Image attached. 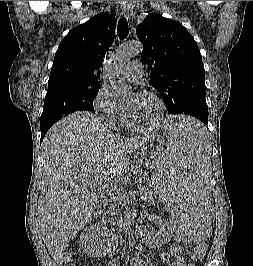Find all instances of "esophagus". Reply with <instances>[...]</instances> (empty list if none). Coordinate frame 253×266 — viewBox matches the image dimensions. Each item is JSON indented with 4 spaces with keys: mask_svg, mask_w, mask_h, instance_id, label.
Masks as SVG:
<instances>
[{
    "mask_svg": "<svg viewBox=\"0 0 253 266\" xmlns=\"http://www.w3.org/2000/svg\"><path fill=\"white\" fill-rule=\"evenodd\" d=\"M121 9L123 11V13L130 18L133 14V6L131 3H129L128 1H125L121 4Z\"/></svg>",
    "mask_w": 253,
    "mask_h": 266,
    "instance_id": "obj_1",
    "label": "esophagus"
}]
</instances>
